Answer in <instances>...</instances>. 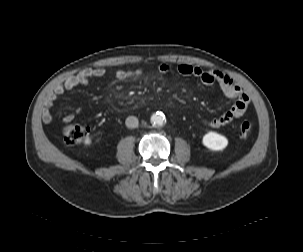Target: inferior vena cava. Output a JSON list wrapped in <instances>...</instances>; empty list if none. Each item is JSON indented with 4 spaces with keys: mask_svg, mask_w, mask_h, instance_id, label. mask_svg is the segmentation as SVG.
<instances>
[{
    "mask_svg": "<svg viewBox=\"0 0 303 252\" xmlns=\"http://www.w3.org/2000/svg\"><path fill=\"white\" fill-rule=\"evenodd\" d=\"M138 118L135 116H129L126 118L125 124L128 128H136L138 126Z\"/></svg>",
    "mask_w": 303,
    "mask_h": 252,
    "instance_id": "inferior-vena-cava-1",
    "label": "inferior vena cava"
}]
</instances>
